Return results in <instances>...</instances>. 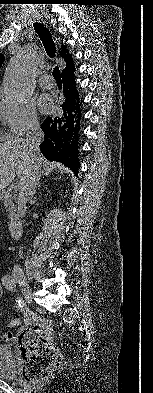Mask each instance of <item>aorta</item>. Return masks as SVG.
<instances>
[{
	"mask_svg": "<svg viewBox=\"0 0 153 393\" xmlns=\"http://www.w3.org/2000/svg\"><path fill=\"white\" fill-rule=\"evenodd\" d=\"M35 70V50L31 46H25L20 54L12 57L4 79V89L11 101L23 103L31 97Z\"/></svg>",
	"mask_w": 153,
	"mask_h": 393,
	"instance_id": "762f6f07",
	"label": "aorta"
}]
</instances>
